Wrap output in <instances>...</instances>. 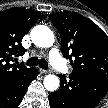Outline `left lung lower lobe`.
Segmentation results:
<instances>
[{
  "mask_svg": "<svg viewBox=\"0 0 108 108\" xmlns=\"http://www.w3.org/2000/svg\"><path fill=\"white\" fill-rule=\"evenodd\" d=\"M60 88L49 95L51 108H95L108 90V80L82 75H59Z\"/></svg>",
  "mask_w": 108,
  "mask_h": 108,
  "instance_id": "obj_1",
  "label": "left lung lower lobe"
}]
</instances>
